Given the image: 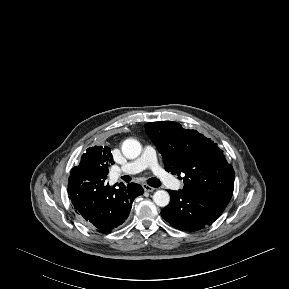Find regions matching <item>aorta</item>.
Segmentation results:
<instances>
[{"label":"aorta","instance_id":"obj_1","mask_svg":"<svg viewBox=\"0 0 289 289\" xmlns=\"http://www.w3.org/2000/svg\"><path fill=\"white\" fill-rule=\"evenodd\" d=\"M123 155L128 159H135L141 153V144L135 139H126L122 144ZM153 201L160 207H165L170 202V196L168 192L164 190H158L153 195Z\"/></svg>","mask_w":289,"mask_h":289}]
</instances>
